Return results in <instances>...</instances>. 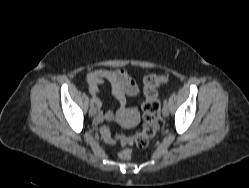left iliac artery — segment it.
Segmentation results:
<instances>
[{"label": "left iliac artery", "mask_w": 249, "mask_h": 188, "mask_svg": "<svg viewBox=\"0 0 249 188\" xmlns=\"http://www.w3.org/2000/svg\"><path fill=\"white\" fill-rule=\"evenodd\" d=\"M167 104H168V103H167V100L165 99V100H164V105H167Z\"/></svg>", "instance_id": "obj_1"}]
</instances>
